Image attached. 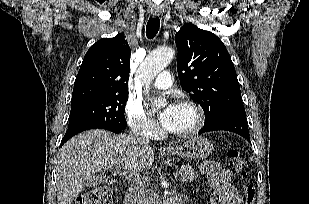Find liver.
Listing matches in <instances>:
<instances>
[{
  "mask_svg": "<svg viewBox=\"0 0 309 204\" xmlns=\"http://www.w3.org/2000/svg\"><path fill=\"white\" fill-rule=\"evenodd\" d=\"M154 153L150 146L134 144L125 135L105 130H89L69 140L59 151L56 161L58 204H71L85 181L95 173L123 168L136 176L152 167Z\"/></svg>",
  "mask_w": 309,
  "mask_h": 204,
  "instance_id": "1",
  "label": "liver"
}]
</instances>
